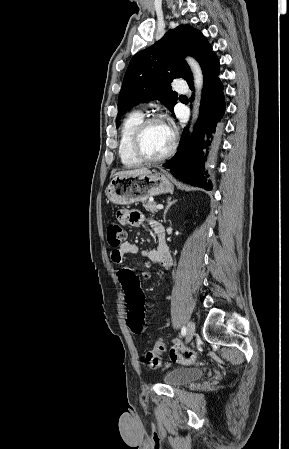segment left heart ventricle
Listing matches in <instances>:
<instances>
[{"mask_svg": "<svg viewBox=\"0 0 289 449\" xmlns=\"http://www.w3.org/2000/svg\"><path fill=\"white\" fill-rule=\"evenodd\" d=\"M171 140V131L165 124L152 123L143 134L142 148L146 155L158 157L168 150Z\"/></svg>", "mask_w": 289, "mask_h": 449, "instance_id": "left-heart-ventricle-1", "label": "left heart ventricle"}]
</instances>
